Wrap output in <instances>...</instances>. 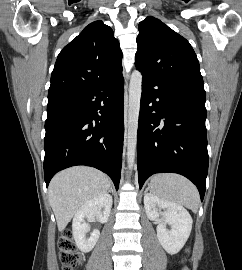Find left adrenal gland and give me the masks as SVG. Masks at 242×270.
Here are the masks:
<instances>
[{"label":"left adrenal gland","instance_id":"1","mask_svg":"<svg viewBox=\"0 0 242 270\" xmlns=\"http://www.w3.org/2000/svg\"><path fill=\"white\" fill-rule=\"evenodd\" d=\"M148 190H149V187L145 190L144 194H146Z\"/></svg>","mask_w":242,"mask_h":270}]
</instances>
